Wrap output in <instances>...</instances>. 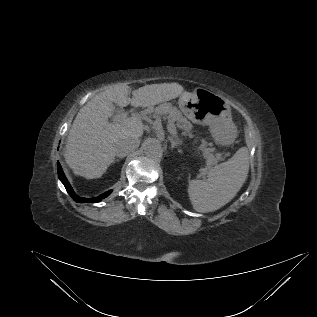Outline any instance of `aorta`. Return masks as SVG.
Returning a JSON list of instances; mask_svg holds the SVG:
<instances>
[{"mask_svg": "<svg viewBox=\"0 0 317 317\" xmlns=\"http://www.w3.org/2000/svg\"><path fill=\"white\" fill-rule=\"evenodd\" d=\"M144 153L153 158H158L162 155L161 143L156 139H149L143 145Z\"/></svg>", "mask_w": 317, "mask_h": 317, "instance_id": "762f6f07", "label": "aorta"}]
</instances>
